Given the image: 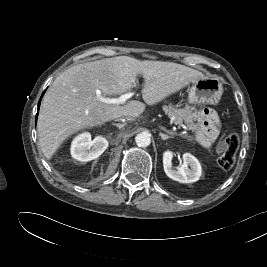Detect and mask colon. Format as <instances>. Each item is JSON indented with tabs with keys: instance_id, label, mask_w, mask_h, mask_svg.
I'll use <instances>...</instances> for the list:
<instances>
[{
	"instance_id": "colon-1",
	"label": "colon",
	"mask_w": 267,
	"mask_h": 267,
	"mask_svg": "<svg viewBox=\"0 0 267 267\" xmlns=\"http://www.w3.org/2000/svg\"><path fill=\"white\" fill-rule=\"evenodd\" d=\"M239 144V138L236 133L228 134L219 144V158L218 164L222 169H229L232 167L236 151Z\"/></svg>"
}]
</instances>
